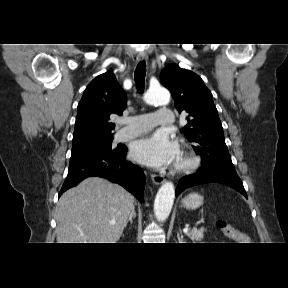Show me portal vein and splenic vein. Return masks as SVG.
<instances>
[{"label":"portal vein and splenic vein","mask_w":288,"mask_h":288,"mask_svg":"<svg viewBox=\"0 0 288 288\" xmlns=\"http://www.w3.org/2000/svg\"><path fill=\"white\" fill-rule=\"evenodd\" d=\"M183 232H184V233H188V228H184V229H183Z\"/></svg>","instance_id":"1"}]
</instances>
